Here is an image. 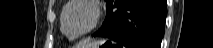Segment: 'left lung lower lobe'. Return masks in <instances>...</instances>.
Segmentation results:
<instances>
[{"mask_svg": "<svg viewBox=\"0 0 213 48\" xmlns=\"http://www.w3.org/2000/svg\"><path fill=\"white\" fill-rule=\"evenodd\" d=\"M166 12V0H110L105 21L93 36L126 48H159Z\"/></svg>", "mask_w": 213, "mask_h": 48, "instance_id": "obj_1", "label": "left lung lower lobe"}]
</instances>
